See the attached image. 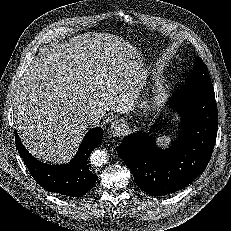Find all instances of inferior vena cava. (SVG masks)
<instances>
[{
	"mask_svg": "<svg viewBox=\"0 0 231 231\" xmlns=\"http://www.w3.org/2000/svg\"><path fill=\"white\" fill-rule=\"evenodd\" d=\"M82 120L84 121L85 124L89 126H94L99 123L100 117L94 112H89L83 114Z\"/></svg>",
	"mask_w": 231,
	"mask_h": 231,
	"instance_id": "inferior-vena-cava-1",
	"label": "inferior vena cava"
}]
</instances>
